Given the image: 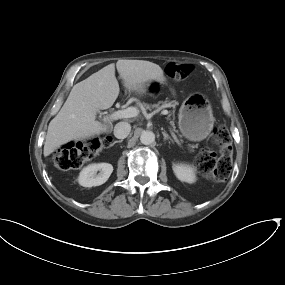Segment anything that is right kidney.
Returning a JSON list of instances; mask_svg holds the SVG:
<instances>
[{"label":"right kidney","mask_w":285,"mask_h":285,"mask_svg":"<svg viewBox=\"0 0 285 285\" xmlns=\"http://www.w3.org/2000/svg\"><path fill=\"white\" fill-rule=\"evenodd\" d=\"M112 172L113 166L109 163L91 164L80 172L78 182L83 187L99 186L108 180Z\"/></svg>","instance_id":"1"}]
</instances>
